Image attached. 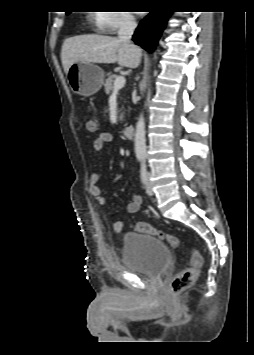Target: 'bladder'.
Returning <instances> with one entry per match:
<instances>
[{
    "instance_id": "bladder-1",
    "label": "bladder",
    "mask_w": 254,
    "mask_h": 355,
    "mask_svg": "<svg viewBox=\"0 0 254 355\" xmlns=\"http://www.w3.org/2000/svg\"><path fill=\"white\" fill-rule=\"evenodd\" d=\"M169 260V250L157 237L135 233L123 236L122 263L127 270L154 279L167 270Z\"/></svg>"
}]
</instances>
